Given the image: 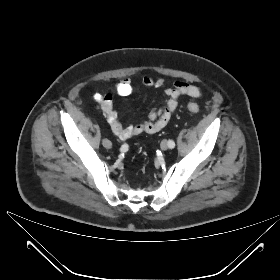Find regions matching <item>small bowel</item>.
Segmentation results:
<instances>
[{
	"label": "small bowel",
	"instance_id": "c3829d8e",
	"mask_svg": "<svg viewBox=\"0 0 280 280\" xmlns=\"http://www.w3.org/2000/svg\"><path fill=\"white\" fill-rule=\"evenodd\" d=\"M142 83L147 88L163 89L166 96L164 104L151 110L148 120L130 125H123L118 113L113 106L114 94L128 96L133 91V86L129 78H123L115 87L105 94L95 93L93 100L99 105L105 114L113 133L122 140L140 135L142 133L154 134L160 131L168 122L171 115L177 110L178 104L183 96L198 98L201 90L186 81H177L172 85H166L164 79L144 76Z\"/></svg>",
	"mask_w": 280,
	"mask_h": 280
}]
</instances>
